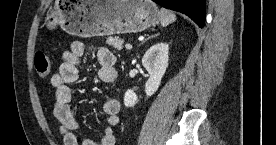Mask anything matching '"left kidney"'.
Returning <instances> with one entry per match:
<instances>
[{"mask_svg":"<svg viewBox=\"0 0 276 145\" xmlns=\"http://www.w3.org/2000/svg\"><path fill=\"white\" fill-rule=\"evenodd\" d=\"M169 45L157 43L150 47L142 58V65L149 73V79L145 84L147 97L152 96L159 88L161 79L166 72L169 60ZM138 102L136 93L129 89L124 96L126 107H133Z\"/></svg>","mask_w":276,"mask_h":145,"instance_id":"obj_1","label":"left kidney"}]
</instances>
